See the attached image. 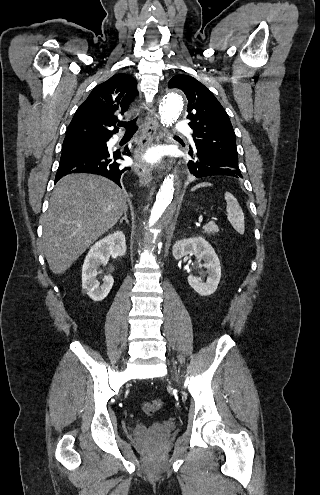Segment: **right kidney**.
<instances>
[{
	"label": "right kidney",
	"mask_w": 320,
	"mask_h": 495,
	"mask_svg": "<svg viewBox=\"0 0 320 495\" xmlns=\"http://www.w3.org/2000/svg\"><path fill=\"white\" fill-rule=\"evenodd\" d=\"M124 256L126 253L125 235L116 231L97 241L89 250L82 267V288L94 301H101L112 289L114 279L111 275L103 278V284L97 281L98 268L107 264L111 254Z\"/></svg>",
	"instance_id": "1"
}]
</instances>
